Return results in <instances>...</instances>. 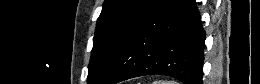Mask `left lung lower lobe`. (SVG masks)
Wrapping results in <instances>:
<instances>
[{"label":"left lung lower lobe","mask_w":260,"mask_h":84,"mask_svg":"<svg viewBox=\"0 0 260 84\" xmlns=\"http://www.w3.org/2000/svg\"><path fill=\"white\" fill-rule=\"evenodd\" d=\"M204 41L194 0H158L102 84L152 74L202 84Z\"/></svg>","instance_id":"left-lung-lower-lobe-1"}]
</instances>
